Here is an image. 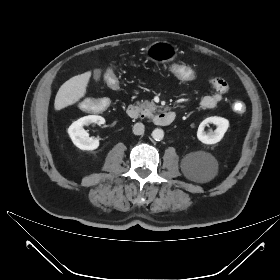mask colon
Listing matches in <instances>:
<instances>
[{"label": "colon", "instance_id": "colon-1", "mask_svg": "<svg viewBox=\"0 0 280 280\" xmlns=\"http://www.w3.org/2000/svg\"><path fill=\"white\" fill-rule=\"evenodd\" d=\"M163 73L168 76H173L176 79L182 80L184 82L194 83L199 80L200 74L197 69L190 66L180 64L176 61H168L163 64ZM121 74V69L116 64H111L106 67L103 71V76L106 83L112 88L116 89L118 86V78ZM106 103L102 99H90L83 101V107L89 111H99L105 107ZM233 110L242 114L245 112L246 107L242 102H235L233 104Z\"/></svg>", "mask_w": 280, "mask_h": 280}]
</instances>
